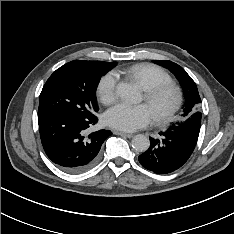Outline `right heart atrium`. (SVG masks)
<instances>
[{
  "instance_id": "1",
  "label": "right heart atrium",
  "mask_w": 234,
  "mask_h": 234,
  "mask_svg": "<svg viewBox=\"0 0 234 234\" xmlns=\"http://www.w3.org/2000/svg\"><path fill=\"white\" fill-rule=\"evenodd\" d=\"M117 78L113 72L104 74L97 85V94L103 103H111L116 97Z\"/></svg>"
}]
</instances>
